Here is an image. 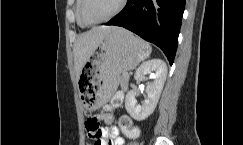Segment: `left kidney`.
<instances>
[{
  "mask_svg": "<svg viewBox=\"0 0 243 145\" xmlns=\"http://www.w3.org/2000/svg\"><path fill=\"white\" fill-rule=\"evenodd\" d=\"M147 74H153V81L146 87L147 98L142 105L136 104L137 90H130L125 98L126 111L137 121H143L148 118L157 106L167 77L165 62L161 59H152L142 63L136 70L134 78L137 82H141L145 80Z\"/></svg>",
  "mask_w": 243,
  "mask_h": 145,
  "instance_id": "5707ae66",
  "label": "left kidney"
}]
</instances>
